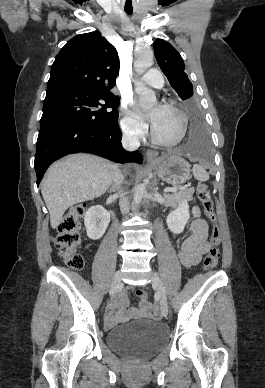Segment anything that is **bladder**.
<instances>
[{
	"mask_svg": "<svg viewBox=\"0 0 265 388\" xmlns=\"http://www.w3.org/2000/svg\"><path fill=\"white\" fill-rule=\"evenodd\" d=\"M166 327L156 321H138L124 324L107 334L110 348L129 354H148L166 343Z\"/></svg>",
	"mask_w": 265,
	"mask_h": 388,
	"instance_id": "obj_1",
	"label": "bladder"
}]
</instances>
